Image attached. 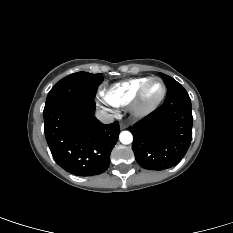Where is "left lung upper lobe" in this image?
Wrapping results in <instances>:
<instances>
[{
	"instance_id": "5c2ea615",
	"label": "left lung upper lobe",
	"mask_w": 233,
	"mask_h": 233,
	"mask_svg": "<svg viewBox=\"0 0 233 233\" xmlns=\"http://www.w3.org/2000/svg\"><path fill=\"white\" fill-rule=\"evenodd\" d=\"M161 77L163 78L166 86H167V93H171L177 89L182 88L181 84L174 80L172 77L160 73Z\"/></svg>"
}]
</instances>
